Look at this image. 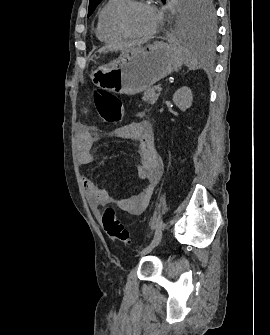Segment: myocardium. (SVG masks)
I'll return each mask as SVG.
<instances>
[{
	"label": "myocardium",
	"instance_id": "myocardium-1",
	"mask_svg": "<svg viewBox=\"0 0 270 335\" xmlns=\"http://www.w3.org/2000/svg\"><path fill=\"white\" fill-rule=\"evenodd\" d=\"M136 7H142L141 2H127L125 5L121 6L114 14L113 18V24L116 29V31L121 34L122 36L126 38H144L146 37V34L143 35H136L129 31V29L126 26V16L128 12ZM140 78H149V77H140Z\"/></svg>",
	"mask_w": 270,
	"mask_h": 335
}]
</instances>
